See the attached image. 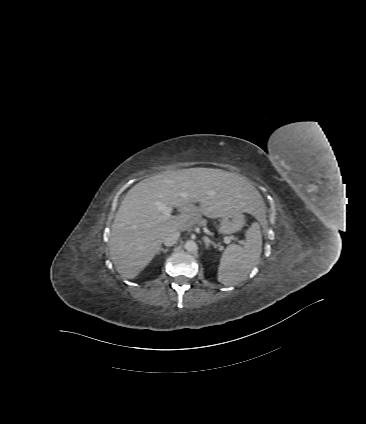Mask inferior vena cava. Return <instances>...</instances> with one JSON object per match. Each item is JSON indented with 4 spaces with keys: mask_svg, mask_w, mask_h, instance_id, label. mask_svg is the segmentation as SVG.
I'll list each match as a JSON object with an SVG mask.
<instances>
[{
    "mask_svg": "<svg viewBox=\"0 0 366 424\" xmlns=\"http://www.w3.org/2000/svg\"><path fill=\"white\" fill-rule=\"evenodd\" d=\"M179 237H180V231H178V230H171L164 237L163 243L166 246H172L173 244H175L177 242V240L179 239Z\"/></svg>",
    "mask_w": 366,
    "mask_h": 424,
    "instance_id": "inferior-vena-cava-1",
    "label": "inferior vena cava"
}]
</instances>
